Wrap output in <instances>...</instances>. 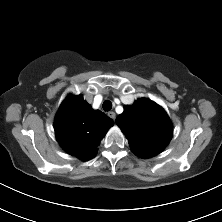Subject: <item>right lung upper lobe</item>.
Returning a JSON list of instances; mask_svg holds the SVG:
<instances>
[{
	"label": "right lung upper lobe",
	"instance_id": "1",
	"mask_svg": "<svg viewBox=\"0 0 222 222\" xmlns=\"http://www.w3.org/2000/svg\"><path fill=\"white\" fill-rule=\"evenodd\" d=\"M112 119L83 100L82 96H68L55 118V135L62 148L81 160L92 159Z\"/></svg>",
	"mask_w": 222,
	"mask_h": 222
}]
</instances>
